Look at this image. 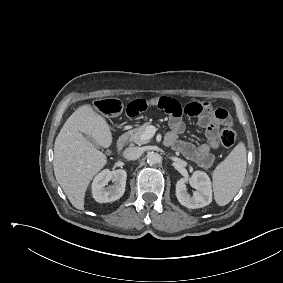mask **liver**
I'll return each mask as SVG.
<instances>
[{"mask_svg":"<svg viewBox=\"0 0 283 283\" xmlns=\"http://www.w3.org/2000/svg\"><path fill=\"white\" fill-rule=\"evenodd\" d=\"M85 135L103 148L112 144L111 128L90 105L79 107L66 120L54 143V174L71 204L84 209L86 189L106 165V155Z\"/></svg>","mask_w":283,"mask_h":283,"instance_id":"1","label":"liver"}]
</instances>
